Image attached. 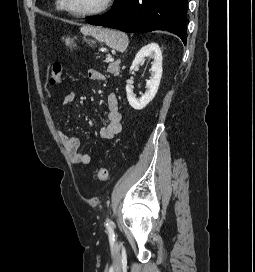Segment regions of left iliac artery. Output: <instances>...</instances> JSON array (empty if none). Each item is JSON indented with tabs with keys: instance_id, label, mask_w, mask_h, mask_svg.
Returning a JSON list of instances; mask_svg holds the SVG:
<instances>
[{
	"instance_id": "left-iliac-artery-1",
	"label": "left iliac artery",
	"mask_w": 255,
	"mask_h": 272,
	"mask_svg": "<svg viewBox=\"0 0 255 272\" xmlns=\"http://www.w3.org/2000/svg\"><path fill=\"white\" fill-rule=\"evenodd\" d=\"M105 225H106V228H107V230H108L109 235H113L114 232H113L111 220L107 218V219H106V224H105Z\"/></svg>"
}]
</instances>
